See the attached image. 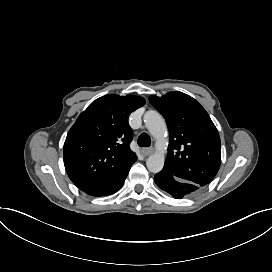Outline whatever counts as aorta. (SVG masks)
I'll list each match as a JSON object with an SVG mask.
<instances>
[{
  "mask_svg": "<svg viewBox=\"0 0 272 272\" xmlns=\"http://www.w3.org/2000/svg\"><path fill=\"white\" fill-rule=\"evenodd\" d=\"M144 123L149 133L157 139L158 152L152 154L146 160L147 169L152 173H158L164 166V152L162 146L166 142L167 126L165 119L155 110H148L144 114ZM162 149V151H161Z\"/></svg>",
  "mask_w": 272,
  "mask_h": 272,
  "instance_id": "1",
  "label": "aorta"
}]
</instances>
